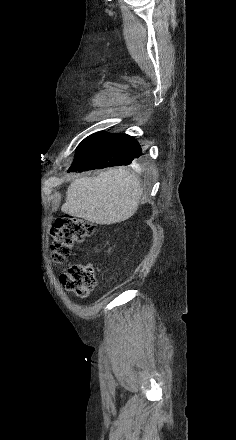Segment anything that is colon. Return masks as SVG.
<instances>
[{"label":"colon","mask_w":236,"mask_h":440,"mask_svg":"<svg viewBox=\"0 0 236 440\" xmlns=\"http://www.w3.org/2000/svg\"><path fill=\"white\" fill-rule=\"evenodd\" d=\"M93 231V225L85 220L69 216L57 219L52 229L53 262L63 264L75 245L83 243ZM60 281L66 290L80 297L87 296L96 285L93 268L85 263L70 264Z\"/></svg>","instance_id":"obj_1"}]
</instances>
